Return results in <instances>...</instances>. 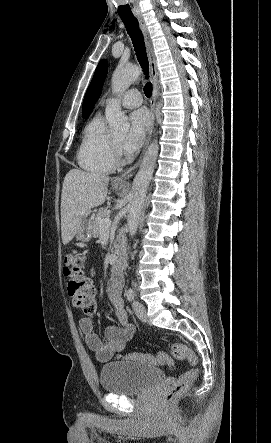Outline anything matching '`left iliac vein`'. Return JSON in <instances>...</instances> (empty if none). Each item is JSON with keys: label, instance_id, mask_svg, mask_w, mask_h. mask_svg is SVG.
Here are the masks:
<instances>
[{"label": "left iliac vein", "instance_id": "obj_1", "mask_svg": "<svg viewBox=\"0 0 271 443\" xmlns=\"http://www.w3.org/2000/svg\"><path fill=\"white\" fill-rule=\"evenodd\" d=\"M132 307H133V310H134L136 316L142 322H146L147 321V312H146V308L144 307V305L142 303H140L139 301L134 300L132 303Z\"/></svg>", "mask_w": 271, "mask_h": 443}]
</instances>
